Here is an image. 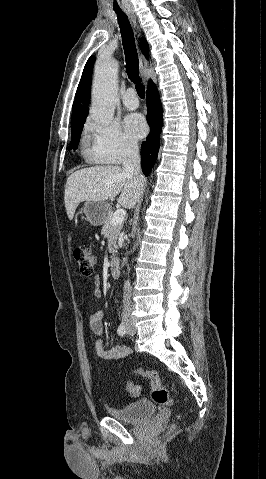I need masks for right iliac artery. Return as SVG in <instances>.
Masks as SVG:
<instances>
[{
  "mask_svg": "<svg viewBox=\"0 0 266 479\" xmlns=\"http://www.w3.org/2000/svg\"><path fill=\"white\" fill-rule=\"evenodd\" d=\"M117 333L120 335V336H124L126 334V326L124 325V323L120 324L118 329H117Z\"/></svg>",
  "mask_w": 266,
  "mask_h": 479,
  "instance_id": "82829eb1",
  "label": "right iliac artery"
}]
</instances>
